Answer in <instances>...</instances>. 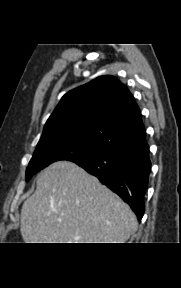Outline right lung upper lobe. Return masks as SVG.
<instances>
[{
    "instance_id": "cb5924a9",
    "label": "right lung upper lobe",
    "mask_w": 181,
    "mask_h": 288,
    "mask_svg": "<svg viewBox=\"0 0 181 288\" xmlns=\"http://www.w3.org/2000/svg\"><path fill=\"white\" fill-rule=\"evenodd\" d=\"M66 137L87 138L107 150L146 142L134 97L110 75L100 76L62 97L40 140Z\"/></svg>"
}]
</instances>
